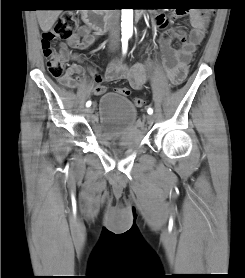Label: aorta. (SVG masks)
<instances>
[{
	"instance_id": "obj_1",
	"label": "aorta",
	"mask_w": 245,
	"mask_h": 278,
	"mask_svg": "<svg viewBox=\"0 0 245 278\" xmlns=\"http://www.w3.org/2000/svg\"><path fill=\"white\" fill-rule=\"evenodd\" d=\"M121 31L123 37H130L133 33V9H122Z\"/></svg>"
}]
</instances>
